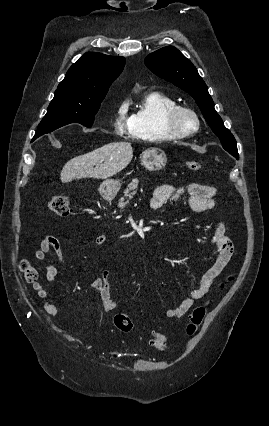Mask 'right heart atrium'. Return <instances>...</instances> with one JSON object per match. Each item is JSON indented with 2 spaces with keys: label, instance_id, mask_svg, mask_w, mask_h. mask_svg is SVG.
Returning <instances> with one entry per match:
<instances>
[{
  "label": "right heart atrium",
  "instance_id": "obj_1",
  "mask_svg": "<svg viewBox=\"0 0 269 426\" xmlns=\"http://www.w3.org/2000/svg\"><path fill=\"white\" fill-rule=\"evenodd\" d=\"M128 108V101L123 100L119 102L115 109L113 131L121 137L133 136V120Z\"/></svg>",
  "mask_w": 269,
  "mask_h": 426
}]
</instances>
